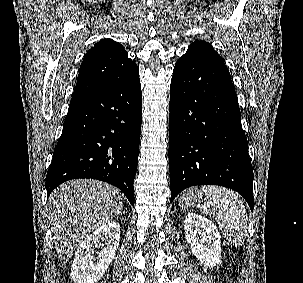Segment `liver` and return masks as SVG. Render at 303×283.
Instances as JSON below:
<instances>
[{
  "mask_svg": "<svg viewBox=\"0 0 303 283\" xmlns=\"http://www.w3.org/2000/svg\"><path fill=\"white\" fill-rule=\"evenodd\" d=\"M117 188L97 180H73L49 196L48 219L58 257L67 262L85 238L122 209Z\"/></svg>",
  "mask_w": 303,
  "mask_h": 283,
  "instance_id": "1",
  "label": "liver"
}]
</instances>
